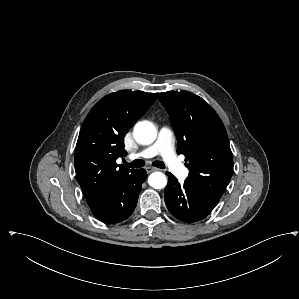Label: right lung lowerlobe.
Returning a JSON list of instances; mask_svg holds the SVG:
<instances>
[{
    "mask_svg": "<svg viewBox=\"0 0 299 299\" xmlns=\"http://www.w3.org/2000/svg\"><path fill=\"white\" fill-rule=\"evenodd\" d=\"M146 176L144 169H134L121 177L90 206L94 216L107 224L119 223L127 219L135 209Z\"/></svg>",
    "mask_w": 299,
    "mask_h": 299,
    "instance_id": "98d812e1",
    "label": "right lung lower lobe"
}]
</instances>
